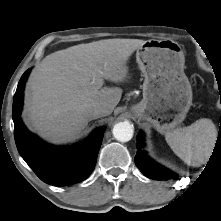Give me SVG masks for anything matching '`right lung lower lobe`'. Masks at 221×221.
Masks as SVG:
<instances>
[{"mask_svg": "<svg viewBox=\"0 0 221 221\" xmlns=\"http://www.w3.org/2000/svg\"><path fill=\"white\" fill-rule=\"evenodd\" d=\"M28 69L21 77L13 99L14 137L21 157L45 183L65 186L87 178L95 167L102 143L104 128L78 145L55 147L29 132L21 121L24 84Z\"/></svg>", "mask_w": 221, "mask_h": 221, "instance_id": "98d812e1", "label": "right lung lower lobe"}]
</instances>
